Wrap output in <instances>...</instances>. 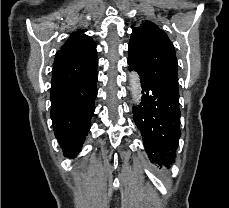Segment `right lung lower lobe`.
<instances>
[{"mask_svg": "<svg viewBox=\"0 0 229 208\" xmlns=\"http://www.w3.org/2000/svg\"><path fill=\"white\" fill-rule=\"evenodd\" d=\"M97 65L86 77L50 94L55 136L67 157L76 156L90 130L97 96Z\"/></svg>", "mask_w": 229, "mask_h": 208, "instance_id": "right-lung-lower-lobe-1", "label": "right lung lower lobe"}]
</instances>
